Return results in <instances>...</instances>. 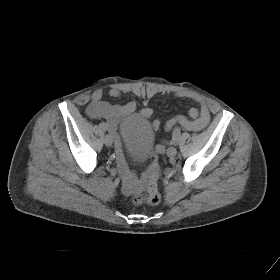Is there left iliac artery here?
I'll return each mask as SVG.
<instances>
[{
    "label": "left iliac artery",
    "mask_w": 280,
    "mask_h": 280,
    "mask_svg": "<svg viewBox=\"0 0 280 280\" xmlns=\"http://www.w3.org/2000/svg\"><path fill=\"white\" fill-rule=\"evenodd\" d=\"M181 135V129L180 127H174L173 132H172V144L177 145L180 139Z\"/></svg>",
    "instance_id": "44dca946"
}]
</instances>
